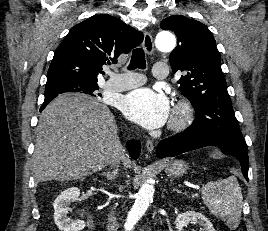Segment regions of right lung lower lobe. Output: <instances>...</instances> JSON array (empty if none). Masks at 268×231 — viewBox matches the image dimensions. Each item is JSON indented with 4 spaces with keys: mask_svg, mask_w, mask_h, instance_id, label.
I'll use <instances>...</instances> for the list:
<instances>
[{
    "mask_svg": "<svg viewBox=\"0 0 268 231\" xmlns=\"http://www.w3.org/2000/svg\"><path fill=\"white\" fill-rule=\"evenodd\" d=\"M45 106L41 107L40 111H42ZM129 154L133 159H137L140 155L141 144L139 141L131 140L127 143Z\"/></svg>",
    "mask_w": 268,
    "mask_h": 231,
    "instance_id": "98d812e1",
    "label": "right lung lower lobe"
}]
</instances>
